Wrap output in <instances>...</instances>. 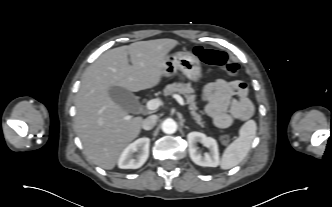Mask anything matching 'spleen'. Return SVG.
Segmentation results:
<instances>
[{"label": "spleen", "instance_id": "obj_1", "mask_svg": "<svg viewBox=\"0 0 332 207\" xmlns=\"http://www.w3.org/2000/svg\"><path fill=\"white\" fill-rule=\"evenodd\" d=\"M256 122L249 120L239 130V137L224 151L221 158V168L230 169L238 165L248 154L256 135Z\"/></svg>", "mask_w": 332, "mask_h": 207}]
</instances>
